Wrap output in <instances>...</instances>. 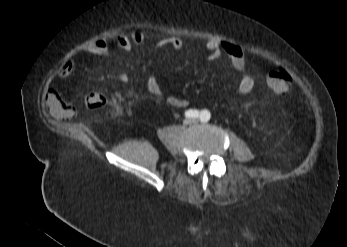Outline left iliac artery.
<instances>
[{"mask_svg":"<svg viewBox=\"0 0 347 247\" xmlns=\"http://www.w3.org/2000/svg\"><path fill=\"white\" fill-rule=\"evenodd\" d=\"M211 118V114L207 110H203L200 115L201 122H208Z\"/></svg>","mask_w":347,"mask_h":247,"instance_id":"left-iliac-artery-1","label":"left iliac artery"}]
</instances>
